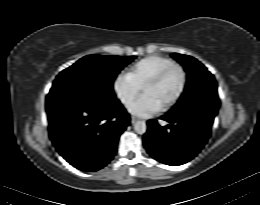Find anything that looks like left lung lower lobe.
Wrapping results in <instances>:
<instances>
[{
	"instance_id": "left-lung-lower-lobe-1",
	"label": "left lung lower lobe",
	"mask_w": 260,
	"mask_h": 205,
	"mask_svg": "<svg viewBox=\"0 0 260 205\" xmlns=\"http://www.w3.org/2000/svg\"><path fill=\"white\" fill-rule=\"evenodd\" d=\"M161 119L169 124L160 126L156 120L148 121L144 145L153 158L174 166L190 161L204 147L214 118L195 112H168Z\"/></svg>"
}]
</instances>
